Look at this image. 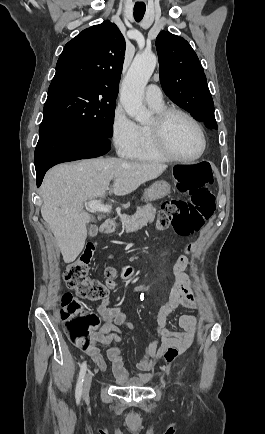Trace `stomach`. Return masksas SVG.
I'll return each instance as SVG.
<instances>
[{"instance_id": "obj_1", "label": "stomach", "mask_w": 265, "mask_h": 434, "mask_svg": "<svg viewBox=\"0 0 265 434\" xmlns=\"http://www.w3.org/2000/svg\"><path fill=\"white\" fill-rule=\"evenodd\" d=\"M171 192V186L168 182L164 180H159L155 182L152 186H149L144 192L145 202H153V200H160V198H165Z\"/></svg>"}]
</instances>
